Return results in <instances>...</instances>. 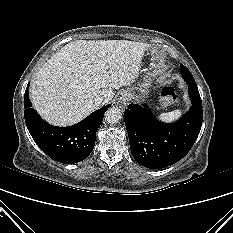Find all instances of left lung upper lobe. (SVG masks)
Returning <instances> with one entry per match:
<instances>
[{
	"instance_id": "left-lung-upper-lobe-1",
	"label": "left lung upper lobe",
	"mask_w": 233,
	"mask_h": 233,
	"mask_svg": "<svg viewBox=\"0 0 233 233\" xmlns=\"http://www.w3.org/2000/svg\"><path fill=\"white\" fill-rule=\"evenodd\" d=\"M180 69L185 81H195L190 71L183 64H180Z\"/></svg>"
}]
</instances>
